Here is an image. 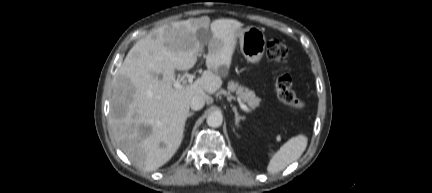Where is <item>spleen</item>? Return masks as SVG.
I'll use <instances>...</instances> for the list:
<instances>
[{
  "label": "spleen",
  "instance_id": "spleen-1",
  "mask_svg": "<svg viewBox=\"0 0 432 193\" xmlns=\"http://www.w3.org/2000/svg\"><path fill=\"white\" fill-rule=\"evenodd\" d=\"M307 142V137L302 134L289 139L277 152L271 154V159L267 166L268 173H278L298 160L305 151Z\"/></svg>",
  "mask_w": 432,
  "mask_h": 193
}]
</instances>
